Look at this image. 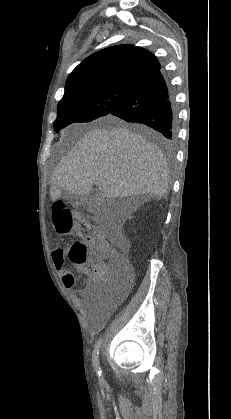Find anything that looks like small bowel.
Returning <instances> with one entry per match:
<instances>
[{
	"mask_svg": "<svg viewBox=\"0 0 231 419\" xmlns=\"http://www.w3.org/2000/svg\"><path fill=\"white\" fill-rule=\"evenodd\" d=\"M56 251L60 252V254L62 256V259H63L64 258V252L62 250H56ZM55 258L56 257L53 255L54 264H55L57 270L59 271V273L61 275L62 284L66 289L71 290L74 287L75 282H76L75 276L64 267V262L62 264H59L55 261ZM81 269L86 270L85 268H81ZM91 282L93 283L94 281L91 279ZM126 293H127V289L123 290L120 299H122ZM80 294H81L82 297H84L86 299L90 294V288L87 287V288L81 290ZM73 299H74L75 303L78 305V307H80L81 309L85 308V301L84 300L80 299L77 296H73ZM88 326H89L90 329H95L96 328V323L95 322H88Z\"/></svg>",
	"mask_w": 231,
	"mask_h": 419,
	"instance_id": "small-bowel-1",
	"label": "small bowel"
}]
</instances>
